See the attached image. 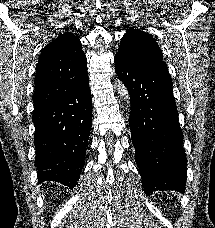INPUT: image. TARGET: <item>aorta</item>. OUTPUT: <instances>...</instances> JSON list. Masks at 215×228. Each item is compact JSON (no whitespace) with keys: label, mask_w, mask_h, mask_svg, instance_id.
Instances as JSON below:
<instances>
[{"label":"aorta","mask_w":215,"mask_h":228,"mask_svg":"<svg viewBox=\"0 0 215 228\" xmlns=\"http://www.w3.org/2000/svg\"><path fill=\"white\" fill-rule=\"evenodd\" d=\"M118 94L122 96L124 102H126L127 106H129L130 96H129L128 88L124 86L123 82H119Z\"/></svg>","instance_id":"obj_1"}]
</instances>
